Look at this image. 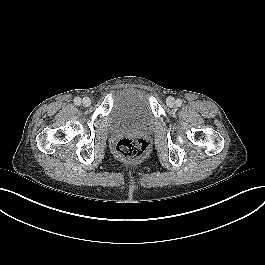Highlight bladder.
<instances>
[{
  "mask_svg": "<svg viewBox=\"0 0 265 265\" xmlns=\"http://www.w3.org/2000/svg\"><path fill=\"white\" fill-rule=\"evenodd\" d=\"M107 119L113 130H149L156 122L149 91L136 86L122 88L113 99Z\"/></svg>",
  "mask_w": 265,
  "mask_h": 265,
  "instance_id": "1",
  "label": "bladder"
}]
</instances>
